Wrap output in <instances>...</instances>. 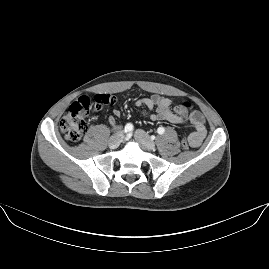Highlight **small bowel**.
<instances>
[{"label": "small bowel", "instance_id": "c3829d8e", "mask_svg": "<svg viewBox=\"0 0 269 269\" xmlns=\"http://www.w3.org/2000/svg\"><path fill=\"white\" fill-rule=\"evenodd\" d=\"M137 108L145 107L147 110H142L144 115L149 116L152 121H167L173 124H189L194 131L190 134V145L194 148L199 147L205 138L206 128L204 118L198 111L188 112L180 107L175 111L171 109V99L160 95H152L150 97L138 99L135 102ZM156 113H152L153 109ZM120 116L119 110H114L107 118L109 125L115 126L117 119Z\"/></svg>", "mask_w": 269, "mask_h": 269}]
</instances>
